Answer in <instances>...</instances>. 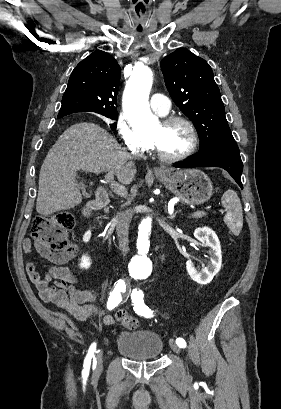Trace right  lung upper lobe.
<instances>
[{"instance_id":"1","label":"right lung upper lobe","mask_w":281,"mask_h":409,"mask_svg":"<svg viewBox=\"0 0 281 409\" xmlns=\"http://www.w3.org/2000/svg\"><path fill=\"white\" fill-rule=\"evenodd\" d=\"M121 69L104 51H95L72 71L58 117L74 112H117Z\"/></svg>"}]
</instances>
